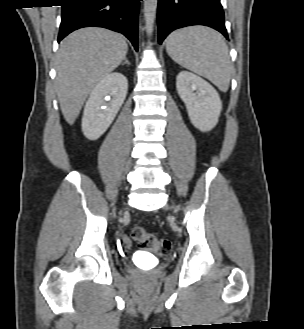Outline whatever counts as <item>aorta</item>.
<instances>
[{"label":"aorta","instance_id":"obj_1","mask_svg":"<svg viewBox=\"0 0 304 329\" xmlns=\"http://www.w3.org/2000/svg\"><path fill=\"white\" fill-rule=\"evenodd\" d=\"M157 3L158 0H144V20L145 29L148 36H150L153 31Z\"/></svg>","mask_w":304,"mask_h":329}]
</instances>
